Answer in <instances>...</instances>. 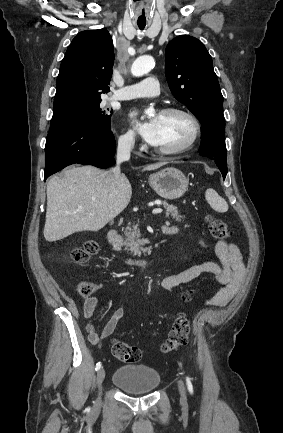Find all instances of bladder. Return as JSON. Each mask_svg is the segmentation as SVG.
<instances>
[{
    "label": "bladder",
    "mask_w": 283,
    "mask_h": 433,
    "mask_svg": "<svg viewBox=\"0 0 283 433\" xmlns=\"http://www.w3.org/2000/svg\"><path fill=\"white\" fill-rule=\"evenodd\" d=\"M113 383L129 393H150L160 383V374L147 365L119 367Z\"/></svg>",
    "instance_id": "1"
}]
</instances>
